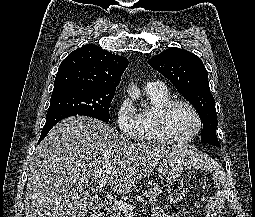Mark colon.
Instances as JSON below:
<instances>
[{"label":"colon","mask_w":255,"mask_h":217,"mask_svg":"<svg viewBox=\"0 0 255 217\" xmlns=\"http://www.w3.org/2000/svg\"><path fill=\"white\" fill-rule=\"evenodd\" d=\"M186 191L182 183L174 181L169 186V199L172 203L178 204L185 200ZM220 206V202L216 196H212L209 200L208 208L210 212L217 213Z\"/></svg>","instance_id":"colon-1"}]
</instances>
